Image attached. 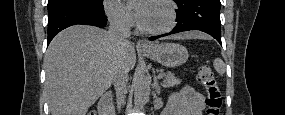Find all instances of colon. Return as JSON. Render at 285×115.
Masks as SVG:
<instances>
[{
  "mask_svg": "<svg viewBox=\"0 0 285 115\" xmlns=\"http://www.w3.org/2000/svg\"><path fill=\"white\" fill-rule=\"evenodd\" d=\"M197 78L199 82L204 86L207 93V114H220L223 102L222 93L211 68L207 65L200 66L197 72ZM88 114L96 115L95 112H89Z\"/></svg>",
  "mask_w": 285,
  "mask_h": 115,
  "instance_id": "colon-1",
  "label": "colon"
}]
</instances>
